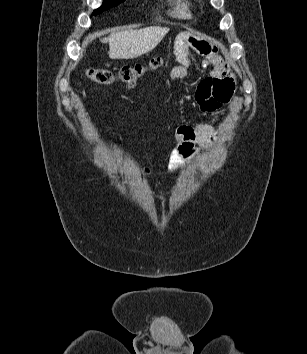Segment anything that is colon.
Listing matches in <instances>:
<instances>
[{
    "instance_id": "obj_1",
    "label": "colon",
    "mask_w": 307,
    "mask_h": 354,
    "mask_svg": "<svg viewBox=\"0 0 307 354\" xmlns=\"http://www.w3.org/2000/svg\"><path fill=\"white\" fill-rule=\"evenodd\" d=\"M162 63V58L153 57L146 63L126 65L118 71L103 67H90L86 70V74L89 79L100 85H110L120 82L130 87L147 72L158 69Z\"/></svg>"
}]
</instances>
